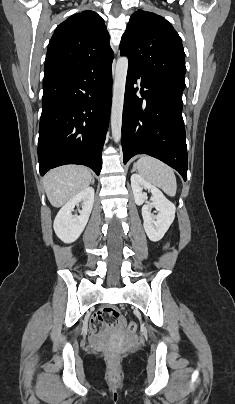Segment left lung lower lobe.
Segmentation results:
<instances>
[{
    "instance_id": "0a47b994",
    "label": "left lung lower lobe",
    "mask_w": 235,
    "mask_h": 404,
    "mask_svg": "<svg viewBox=\"0 0 235 404\" xmlns=\"http://www.w3.org/2000/svg\"><path fill=\"white\" fill-rule=\"evenodd\" d=\"M141 80V96L134 87ZM143 88L147 90L144 91ZM183 90L128 66L122 118L124 164L136 154L155 157L187 179V146L182 118Z\"/></svg>"
}]
</instances>
